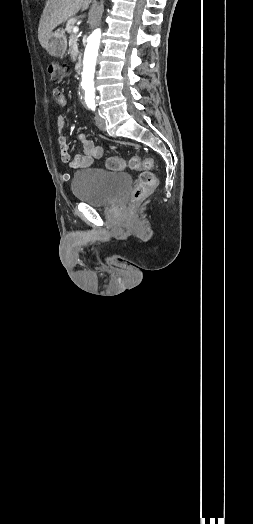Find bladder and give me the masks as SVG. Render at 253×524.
<instances>
[{"instance_id":"31cf9c89","label":"bladder","mask_w":253,"mask_h":524,"mask_svg":"<svg viewBox=\"0 0 253 524\" xmlns=\"http://www.w3.org/2000/svg\"><path fill=\"white\" fill-rule=\"evenodd\" d=\"M131 184L128 173L87 168L74 173L71 189L75 199L91 206H103L115 201Z\"/></svg>"}]
</instances>
